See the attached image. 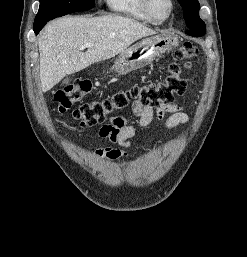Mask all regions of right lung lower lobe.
Wrapping results in <instances>:
<instances>
[{
  "mask_svg": "<svg viewBox=\"0 0 247 257\" xmlns=\"http://www.w3.org/2000/svg\"><path fill=\"white\" fill-rule=\"evenodd\" d=\"M48 21H44V22H41V23H38V24H34V32L35 34L37 35L39 33V31L45 26V24L47 23Z\"/></svg>",
  "mask_w": 247,
  "mask_h": 257,
  "instance_id": "right-lung-lower-lobe-1",
  "label": "right lung lower lobe"
}]
</instances>
